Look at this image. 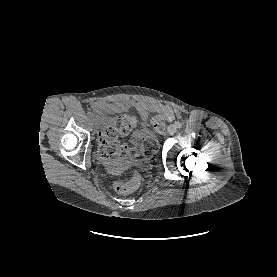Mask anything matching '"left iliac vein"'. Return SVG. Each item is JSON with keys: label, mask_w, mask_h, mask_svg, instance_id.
I'll list each match as a JSON object with an SVG mask.
<instances>
[{"label": "left iliac vein", "mask_w": 277, "mask_h": 277, "mask_svg": "<svg viewBox=\"0 0 277 277\" xmlns=\"http://www.w3.org/2000/svg\"><path fill=\"white\" fill-rule=\"evenodd\" d=\"M167 130H168V133H169L170 135H173V134L176 133L177 127H176L175 124H171V125L168 126V129H167Z\"/></svg>", "instance_id": "obj_1"}]
</instances>
